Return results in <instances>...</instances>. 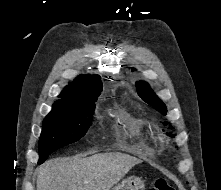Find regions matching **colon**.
Returning <instances> with one entry per match:
<instances>
[{"instance_id":"1","label":"colon","mask_w":221,"mask_h":190,"mask_svg":"<svg viewBox=\"0 0 221 190\" xmlns=\"http://www.w3.org/2000/svg\"><path fill=\"white\" fill-rule=\"evenodd\" d=\"M149 190H174V188L165 179H157Z\"/></svg>"}]
</instances>
